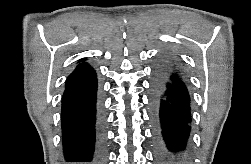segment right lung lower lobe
<instances>
[{
    "instance_id": "obj_1",
    "label": "right lung lower lobe",
    "mask_w": 251,
    "mask_h": 164,
    "mask_svg": "<svg viewBox=\"0 0 251 164\" xmlns=\"http://www.w3.org/2000/svg\"><path fill=\"white\" fill-rule=\"evenodd\" d=\"M62 141L67 162L102 163L103 120L97 110V78L88 64L69 75L62 97Z\"/></svg>"
}]
</instances>
